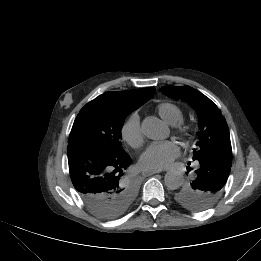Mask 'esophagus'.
<instances>
[{"label": "esophagus", "mask_w": 261, "mask_h": 261, "mask_svg": "<svg viewBox=\"0 0 261 261\" xmlns=\"http://www.w3.org/2000/svg\"><path fill=\"white\" fill-rule=\"evenodd\" d=\"M160 172H161L160 170H148V171H143L142 175L146 177Z\"/></svg>", "instance_id": "obj_1"}]
</instances>
